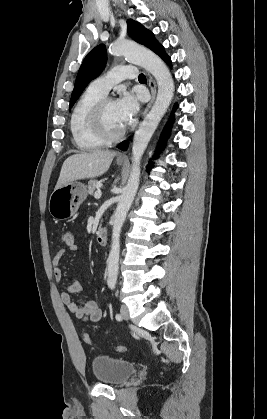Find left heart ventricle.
Segmentation results:
<instances>
[{
    "instance_id": "b2bd125f",
    "label": "left heart ventricle",
    "mask_w": 267,
    "mask_h": 419,
    "mask_svg": "<svg viewBox=\"0 0 267 419\" xmlns=\"http://www.w3.org/2000/svg\"><path fill=\"white\" fill-rule=\"evenodd\" d=\"M104 117L106 127L110 132L115 133L125 127V124L122 122L120 118L117 104L115 101H112L107 104Z\"/></svg>"
}]
</instances>
